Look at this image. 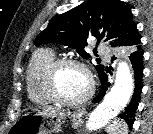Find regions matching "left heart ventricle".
<instances>
[{
	"mask_svg": "<svg viewBox=\"0 0 153 134\" xmlns=\"http://www.w3.org/2000/svg\"><path fill=\"white\" fill-rule=\"evenodd\" d=\"M59 93L66 99L77 100L88 91V79L85 73L74 66H66L59 70L56 79Z\"/></svg>",
	"mask_w": 153,
	"mask_h": 134,
	"instance_id": "obj_1",
	"label": "left heart ventricle"
}]
</instances>
